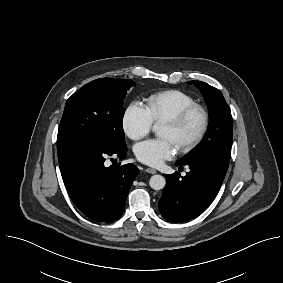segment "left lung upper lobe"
<instances>
[{
    "mask_svg": "<svg viewBox=\"0 0 283 283\" xmlns=\"http://www.w3.org/2000/svg\"><path fill=\"white\" fill-rule=\"evenodd\" d=\"M204 96L209 110V128L201 144L189 155L179 160L180 164L207 163L227 171L233 139L232 116L222 93L213 86L200 81H190Z\"/></svg>",
    "mask_w": 283,
    "mask_h": 283,
    "instance_id": "5c2ea615",
    "label": "left lung upper lobe"
}]
</instances>
